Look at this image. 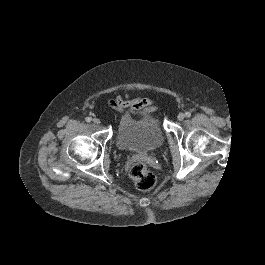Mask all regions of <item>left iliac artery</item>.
Returning <instances> with one entry per match:
<instances>
[{
  "instance_id": "1",
  "label": "left iliac artery",
  "mask_w": 265,
  "mask_h": 265,
  "mask_svg": "<svg viewBox=\"0 0 265 265\" xmlns=\"http://www.w3.org/2000/svg\"><path fill=\"white\" fill-rule=\"evenodd\" d=\"M185 116H186V117H190V116H191V113H190V112H186V113H185Z\"/></svg>"
}]
</instances>
